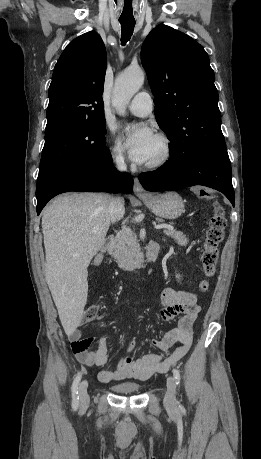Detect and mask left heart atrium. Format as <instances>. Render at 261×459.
<instances>
[{
  "label": "left heart atrium",
  "mask_w": 261,
  "mask_h": 459,
  "mask_svg": "<svg viewBox=\"0 0 261 459\" xmlns=\"http://www.w3.org/2000/svg\"><path fill=\"white\" fill-rule=\"evenodd\" d=\"M156 136L147 125L126 128V147L131 159L138 164L146 163Z\"/></svg>",
  "instance_id": "left-heart-atrium-1"
}]
</instances>
